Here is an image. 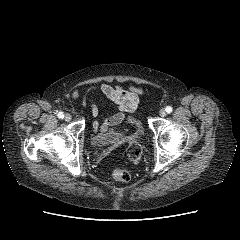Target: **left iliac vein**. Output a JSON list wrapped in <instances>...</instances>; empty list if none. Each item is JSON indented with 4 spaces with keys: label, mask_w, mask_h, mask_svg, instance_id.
<instances>
[{
    "label": "left iliac vein",
    "mask_w": 240,
    "mask_h": 240,
    "mask_svg": "<svg viewBox=\"0 0 240 240\" xmlns=\"http://www.w3.org/2000/svg\"><path fill=\"white\" fill-rule=\"evenodd\" d=\"M159 115L161 116V117H165L166 116V110L165 109H160L159 110Z\"/></svg>",
    "instance_id": "1"
}]
</instances>
